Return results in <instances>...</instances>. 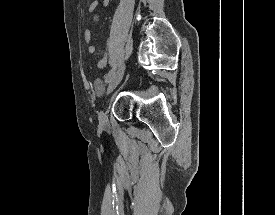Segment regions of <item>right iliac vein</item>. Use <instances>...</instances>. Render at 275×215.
Wrapping results in <instances>:
<instances>
[{
    "label": "right iliac vein",
    "mask_w": 275,
    "mask_h": 215,
    "mask_svg": "<svg viewBox=\"0 0 275 215\" xmlns=\"http://www.w3.org/2000/svg\"><path fill=\"white\" fill-rule=\"evenodd\" d=\"M124 74V66H121L117 71H115L111 78L109 79V86H108V94H110L120 83L123 78ZM99 121L101 125L107 126L108 125V116L104 111H100L99 113Z\"/></svg>",
    "instance_id": "right-iliac-vein-1"
}]
</instances>
